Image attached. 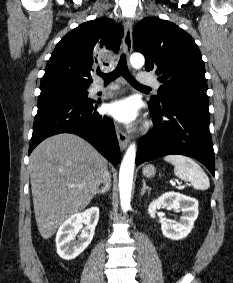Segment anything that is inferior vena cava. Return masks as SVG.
Listing matches in <instances>:
<instances>
[{
  "instance_id": "inferior-vena-cava-1",
  "label": "inferior vena cava",
  "mask_w": 233,
  "mask_h": 283,
  "mask_svg": "<svg viewBox=\"0 0 233 283\" xmlns=\"http://www.w3.org/2000/svg\"><path fill=\"white\" fill-rule=\"evenodd\" d=\"M103 182L106 183V182H110V175H109V172L105 171V175L103 177Z\"/></svg>"
}]
</instances>
